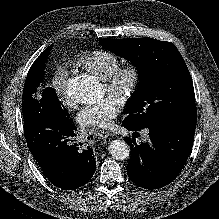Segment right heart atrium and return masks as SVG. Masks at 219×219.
<instances>
[{
    "label": "right heart atrium",
    "mask_w": 219,
    "mask_h": 219,
    "mask_svg": "<svg viewBox=\"0 0 219 219\" xmlns=\"http://www.w3.org/2000/svg\"><path fill=\"white\" fill-rule=\"evenodd\" d=\"M69 77V71L64 66H59L56 68L52 75L51 79V86L53 89V92L59 99L62 101V103L69 108H72L75 106V103L71 101L66 96V86L68 82Z\"/></svg>",
    "instance_id": "right-heart-atrium-1"
}]
</instances>
